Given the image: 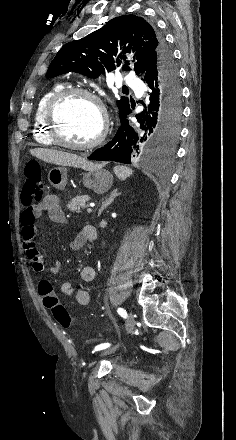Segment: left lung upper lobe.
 <instances>
[{"mask_svg":"<svg viewBox=\"0 0 236 440\" xmlns=\"http://www.w3.org/2000/svg\"><path fill=\"white\" fill-rule=\"evenodd\" d=\"M172 53L159 32L142 17L123 15L76 42L64 45L51 62L46 77L53 78L70 71L97 78L116 68L144 75L149 64L171 58ZM120 116L130 107L129 100L117 101Z\"/></svg>","mask_w":236,"mask_h":440,"instance_id":"obj_1","label":"left lung upper lobe"}]
</instances>
